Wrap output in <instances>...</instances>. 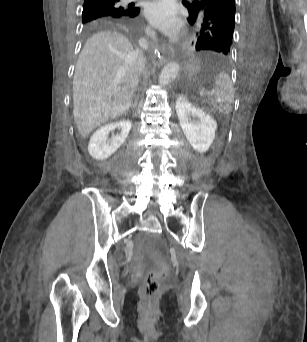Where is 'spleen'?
<instances>
[{
	"label": "spleen",
	"mask_w": 307,
	"mask_h": 342,
	"mask_svg": "<svg viewBox=\"0 0 307 342\" xmlns=\"http://www.w3.org/2000/svg\"><path fill=\"white\" fill-rule=\"evenodd\" d=\"M209 100H212V104H217L216 114H233L231 104L234 102V88L229 74L226 72L217 74Z\"/></svg>",
	"instance_id": "1"
}]
</instances>
